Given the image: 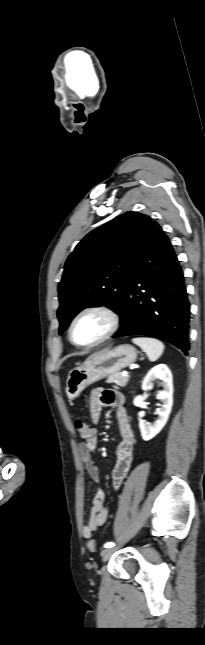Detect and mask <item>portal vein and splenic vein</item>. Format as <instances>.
<instances>
[{"instance_id": "18ae733b", "label": "portal vein and splenic vein", "mask_w": 205, "mask_h": 645, "mask_svg": "<svg viewBox=\"0 0 205 645\" xmlns=\"http://www.w3.org/2000/svg\"><path fill=\"white\" fill-rule=\"evenodd\" d=\"M122 375H123L124 377H128V372L124 371V372L122 373Z\"/></svg>"}]
</instances>
